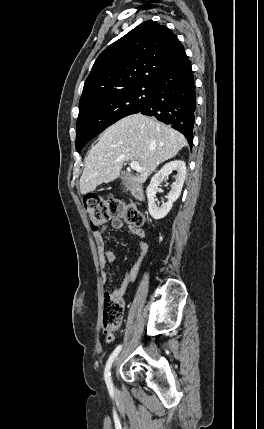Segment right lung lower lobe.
<instances>
[{
	"instance_id": "obj_1",
	"label": "right lung lower lobe",
	"mask_w": 264,
	"mask_h": 429,
	"mask_svg": "<svg viewBox=\"0 0 264 429\" xmlns=\"http://www.w3.org/2000/svg\"><path fill=\"white\" fill-rule=\"evenodd\" d=\"M195 85L191 63L184 53L154 84L151 97L138 112L156 117L193 143Z\"/></svg>"
}]
</instances>
